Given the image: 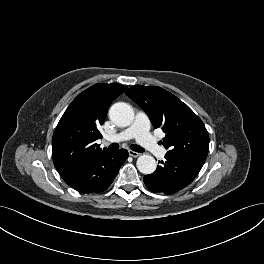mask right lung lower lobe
I'll use <instances>...</instances> for the list:
<instances>
[{
	"instance_id": "98d812e1",
	"label": "right lung lower lobe",
	"mask_w": 264,
	"mask_h": 264,
	"mask_svg": "<svg viewBox=\"0 0 264 264\" xmlns=\"http://www.w3.org/2000/svg\"><path fill=\"white\" fill-rule=\"evenodd\" d=\"M127 158L125 149L109 150L61 176L70 187L81 193L101 192L111 185Z\"/></svg>"
}]
</instances>
